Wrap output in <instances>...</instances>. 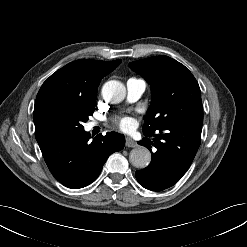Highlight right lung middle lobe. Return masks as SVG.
Masks as SVG:
<instances>
[{
  "instance_id": "1",
  "label": "right lung middle lobe",
  "mask_w": 247,
  "mask_h": 247,
  "mask_svg": "<svg viewBox=\"0 0 247 247\" xmlns=\"http://www.w3.org/2000/svg\"><path fill=\"white\" fill-rule=\"evenodd\" d=\"M96 102L49 100L34 109L35 130L80 131L93 114Z\"/></svg>"
}]
</instances>
